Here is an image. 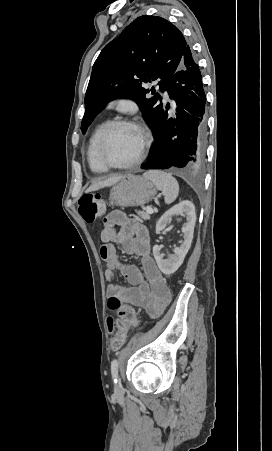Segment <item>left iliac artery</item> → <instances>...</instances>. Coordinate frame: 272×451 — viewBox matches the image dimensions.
Listing matches in <instances>:
<instances>
[{"label":"left iliac artery","instance_id":"obj_1","mask_svg":"<svg viewBox=\"0 0 272 451\" xmlns=\"http://www.w3.org/2000/svg\"><path fill=\"white\" fill-rule=\"evenodd\" d=\"M111 373H112V378L115 384H117L118 382V360L114 359L111 362Z\"/></svg>","mask_w":272,"mask_h":451}]
</instances>
